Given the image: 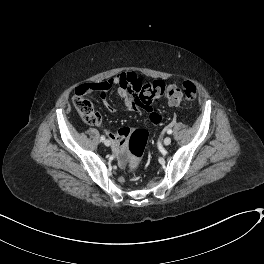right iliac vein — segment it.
I'll list each match as a JSON object with an SVG mask.
<instances>
[{
	"instance_id": "obj_1",
	"label": "right iliac vein",
	"mask_w": 264,
	"mask_h": 264,
	"mask_svg": "<svg viewBox=\"0 0 264 264\" xmlns=\"http://www.w3.org/2000/svg\"><path fill=\"white\" fill-rule=\"evenodd\" d=\"M110 144H111V142H110L109 140H105V141H104V145H105V146L108 147V146H110Z\"/></svg>"
}]
</instances>
